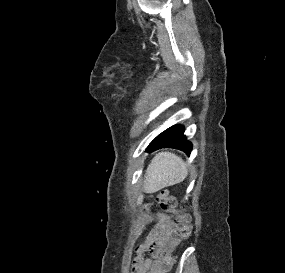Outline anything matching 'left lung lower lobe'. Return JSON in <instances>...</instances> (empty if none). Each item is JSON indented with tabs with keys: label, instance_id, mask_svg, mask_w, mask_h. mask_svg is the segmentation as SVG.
Listing matches in <instances>:
<instances>
[{
	"label": "left lung lower lobe",
	"instance_id": "left-lung-lower-lobe-1",
	"mask_svg": "<svg viewBox=\"0 0 285 273\" xmlns=\"http://www.w3.org/2000/svg\"><path fill=\"white\" fill-rule=\"evenodd\" d=\"M184 128L181 125L172 126L160 133L148 146L147 152H153L160 148H175L190 155L192 143L186 140Z\"/></svg>",
	"mask_w": 285,
	"mask_h": 273
}]
</instances>
